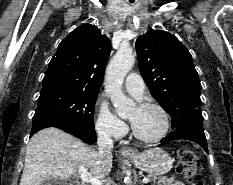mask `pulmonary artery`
I'll return each instance as SVG.
<instances>
[{"instance_id": "obj_1", "label": "pulmonary artery", "mask_w": 233, "mask_h": 185, "mask_svg": "<svg viewBox=\"0 0 233 185\" xmlns=\"http://www.w3.org/2000/svg\"><path fill=\"white\" fill-rule=\"evenodd\" d=\"M125 87L127 91L137 98H141L145 91V83L142 77L135 72L129 73L125 78Z\"/></svg>"}]
</instances>
